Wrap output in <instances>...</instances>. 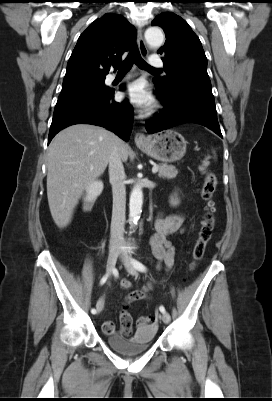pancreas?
Masks as SVG:
<instances>
[{
  "mask_svg": "<svg viewBox=\"0 0 272 401\" xmlns=\"http://www.w3.org/2000/svg\"><path fill=\"white\" fill-rule=\"evenodd\" d=\"M159 177L173 179L177 176L178 170L172 166L167 164H161L158 166Z\"/></svg>",
  "mask_w": 272,
  "mask_h": 401,
  "instance_id": "obj_1",
  "label": "pancreas"
}]
</instances>
